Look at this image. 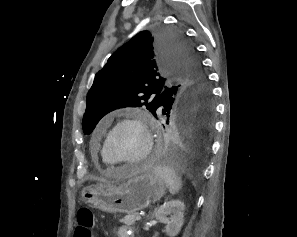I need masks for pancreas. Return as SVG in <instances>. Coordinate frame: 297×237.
Segmentation results:
<instances>
[{"mask_svg": "<svg viewBox=\"0 0 297 237\" xmlns=\"http://www.w3.org/2000/svg\"><path fill=\"white\" fill-rule=\"evenodd\" d=\"M137 216H138L137 213H131V214H128V215H126L124 218H122V219L120 220V222H121V223H124V224H126V225H128V226L133 225V224H135V222H136V217H137Z\"/></svg>", "mask_w": 297, "mask_h": 237, "instance_id": "pancreas-1", "label": "pancreas"}]
</instances>
